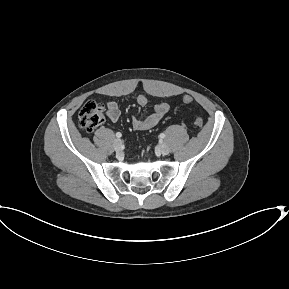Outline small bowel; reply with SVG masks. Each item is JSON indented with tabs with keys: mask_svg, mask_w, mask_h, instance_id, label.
<instances>
[{
	"mask_svg": "<svg viewBox=\"0 0 289 289\" xmlns=\"http://www.w3.org/2000/svg\"><path fill=\"white\" fill-rule=\"evenodd\" d=\"M135 102L140 106H145L148 100L145 95L140 94L135 96ZM168 109V104L161 102L154 106V110L149 116L142 119L133 117L132 126L134 130L144 131L153 128L161 121V119L167 113ZM107 117L113 123L118 121L120 117V109L119 105L116 102L111 101L107 103Z\"/></svg>",
	"mask_w": 289,
	"mask_h": 289,
	"instance_id": "obj_1",
	"label": "small bowel"
}]
</instances>
